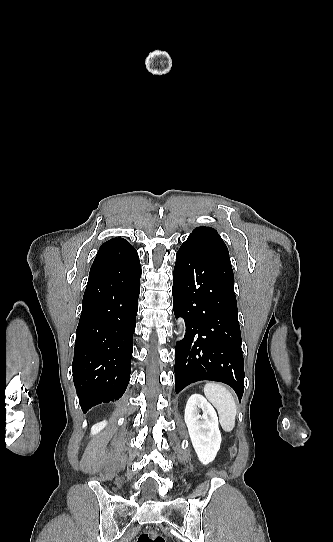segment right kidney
<instances>
[{
	"label": "right kidney",
	"mask_w": 333,
	"mask_h": 542,
	"mask_svg": "<svg viewBox=\"0 0 333 542\" xmlns=\"http://www.w3.org/2000/svg\"><path fill=\"white\" fill-rule=\"evenodd\" d=\"M107 422H99V424H95V426H92L91 428V434L94 436V434H98V432H101L103 428H105Z\"/></svg>",
	"instance_id": "1"
}]
</instances>
